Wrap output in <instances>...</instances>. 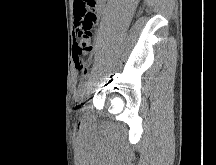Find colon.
<instances>
[{
	"label": "colon",
	"mask_w": 216,
	"mask_h": 165,
	"mask_svg": "<svg viewBox=\"0 0 216 165\" xmlns=\"http://www.w3.org/2000/svg\"><path fill=\"white\" fill-rule=\"evenodd\" d=\"M95 16L92 12H86L77 28H75L76 43L74 47V59L76 68L84 71L87 68L88 59L92 53L91 39L94 32Z\"/></svg>",
	"instance_id": "obj_1"
}]
</instances>
